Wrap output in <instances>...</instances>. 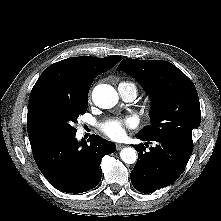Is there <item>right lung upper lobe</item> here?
Masks as SVG:
<instances>
[{
    "mask_svg": "<svg viewBox=\"0 0 221 221\" xmlns=\"http://www.w3.org/2000/svg\"><path fill=\"white\" fill-rule=\"evenodd\" d=\"M122 58L111 56L96 58L92 56L71 57L50 65L40 75L34 85L28 106L27 129L31 147L43 143L33 124L35 101L43 94L66 97H86L94 78L117 64Z\"/></svg>",
    "mask_w": 221,
    "mask_h": 221,
    "instance_id": "1",
    "label": "right lung upper lobe"
}]
</instances>
